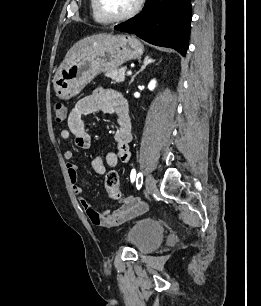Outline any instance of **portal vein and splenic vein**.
I'll list each match as a JSON object with an SVG mask.
<instances>
[{
	"instance_id": "1",
	"label": "portal vein and splenic vein",
	"mask_w": 261,
	"mask_h": 306,
	"mask_svg": "<svg viewBox=\"0 0 261 306\" xmlns=\"http://www.w3.org/2000/svg\"><path fill=\"white\" fill-rule=\"evenodd\" d=\"M131 74H132V72H131V71H128V72H127V75H131Z\"/></svg>"
}]
</instances>
